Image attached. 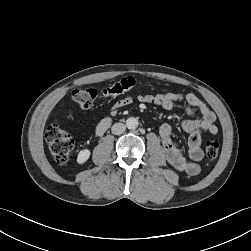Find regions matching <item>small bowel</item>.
<instances>
[{"label":"small bowel","instance_id":"small-bowel-1","mask_svg":"<svg viewBox=\"0 0 251 251\" xmlns=\"http://www.w3.org/2000/svg\"><path fill=\"white\" fill-rule=\"evenodd\" d=\"M134 97L128 96L118 100L113 109L125 107L133 103ZM139 102L154 104L165 110H170L176 103L186 104L187 119L181 122V127L189 133L188 138V156L187 159L176 142L173 139V128L170 124H163L159 129L164 151L168 162L178 171L184 172L190 176L200 173L199 162L203 159V151L201 149L202 133L209 132L216 134L218 128L215 124L216 116L210 108L202 102L193 93L167 92L139 95L136 97ZM196 111L200 114V118L195 117Z\"/></svg>","mask_w":251,"mask_h":251}]
</instances>
